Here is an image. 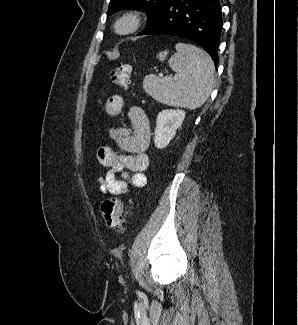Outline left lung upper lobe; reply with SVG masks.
Listing matches in <instances>:
<instances>
[{
  "mask_svg": "<svg viewBox=\"0 0 298 325\" xmlns=\"http://www.w3.org/2000/svg\"><path fill=\"white\" fill-rule=\"evenodd\" d=\"M169 0H111L108 13H113L124 8H138L147 13L150 22Z\"/></svg>",
  "mask_w": 298,
  "mask_h": 325,
  "instance_id": "obj_1",
  "label": "left lung upper lobe"
}]
</instances>
